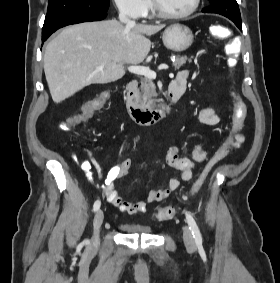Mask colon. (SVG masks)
<instances>
[{
  "instance_id": "5ec220e1",
  "label": "colon",
  "mask_w": 280,
  "mask_h": 283,
  "mask_svg": "<svg viewBox=\"0 0 280 283\" xmlns=\"http://www.w3.org/2000/svg\"><path fill=\"white\" fill-rule=\"evenodd\" d=\"M211 35L217 40H224L228 38L227 43V55H228V65L230 67H234L237 63L236 56L240 55L241 47H243V42H241V37H230L232 32L229 27L223 25H212L209 28ZM107 98V95H102L99 97L94 104H99L103 102ZM99 107H85V111L82 112L80 110L76 111V114H69V119H75L74 122H67V127H63V132H72V127H78V124H82L83 120H90L91 115L93 112H99ZM246 117V106L239 98H235V108H234V115H233V122L238 125H243L244 120ZM223 152H217L206 164L205 168L196 179L194 184L191 187L190 194H195L200 187L202 186L203 182L205 181L206 177L210 173V171L214 168V166L223 158ZM177 212L176 207L174 206H167L164 208L159 209L154 217L159 221H167L171 219Z\"/></svg>"
}]
</instances>
